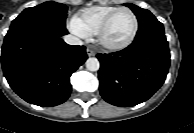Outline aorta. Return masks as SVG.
Listing matches in <instances>:
<instances>
[{"label":"aorta","mask_w":194,"mask_h":133,"mask_svg":"<svg viewBox=\"0 0 194 133\" xmlns=\"http://www.w3.org/2000/svg\"><path fill=\"white\" fill-rule=\"evenodd\" d=\"M86 68L89 71H97L100 68V62L97 58H88L85 62Z\"/></svg>","instance_id":"762f6f07"}]
</instances>
